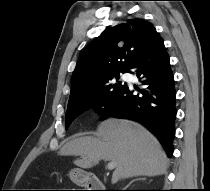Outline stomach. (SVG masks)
<instances>
[{
	"label": "stomach",
	"instance_id": "obj_1",
	"mask_svg": "<svg viewBox=\"0 0 210 191\" xmlns=\"http://www.w3.org/2000/svg\"><path fill=\"white\" fill-rule=\"evenodd\" d=\"M70 179L79 186H86L89 181V174L80 169H74L69 173Z\"/></svg>",
	"mask_w": 210,
	"mask_h": 191
}]
</instances>
